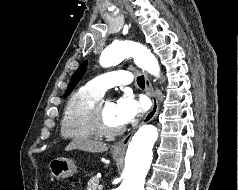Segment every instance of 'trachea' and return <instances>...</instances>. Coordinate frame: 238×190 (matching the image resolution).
Here are the masks:
<instances>
[{"instance_id":"trachea-1","label":"trachea","mask_w":238,"mask_h":190,"mask_svg":"<svg viewBox=\"0 0 238 190\" xmlns=\"http://www.w3.org/2000/svg\"><path fill=\"white\" fill-rule=\"evenodd\" d=\"M137 83H138V85L140 86V87H143L144 88V86H145V80H144V76L142 75V76H139L138 78H137Z\"/></svg>"}]
</instances>
